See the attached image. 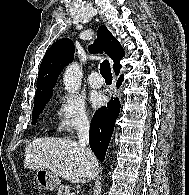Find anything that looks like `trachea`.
Returning a JSON list of instances; mask_svg holds the SVG:
<instances>
[{"mask_svg":"<svg viewBox=\"0 0 189 195\" xmlns=\"http://www.w3.org/2000/svg\"><path fill=\"white\" fill-rule=\"evenodd\" d=\"M100 73L105 81H112L111 67L108 60H104L100 65Z\"/></svg>","mask_w":189,"mask_h":195,"instance_id":"1","label":"trachea"}]
</instances>
